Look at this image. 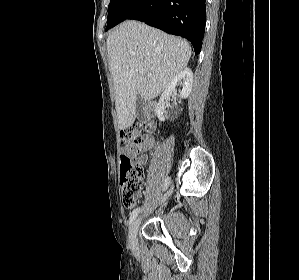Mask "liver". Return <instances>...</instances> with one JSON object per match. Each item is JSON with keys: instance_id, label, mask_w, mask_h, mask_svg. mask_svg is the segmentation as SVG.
I'll use <instances>...</instances> for the list:
<instances>
[{"instance_id": "1", "label": "liver", "mask_w": 299, "mask_h": 280, "mask_svg": "<svg viewBox=\"0 0 299 280\" xmlns=\"http://www.w3.org/2000/svg\"><path fill=\"white\" fill-rule=\"evenodd\" d=\"M120 129L136 118V99L149 102L169 85L190 59V44L135 20L121 23L107 38ZM144 69L145 75L139 70ZM149 73L151 75H149Z\"/></svg>"}]
</instances>
